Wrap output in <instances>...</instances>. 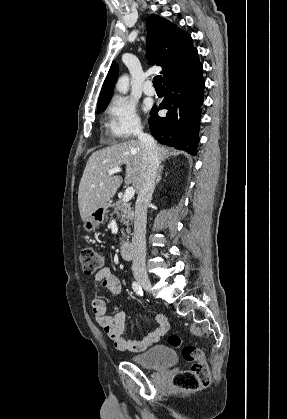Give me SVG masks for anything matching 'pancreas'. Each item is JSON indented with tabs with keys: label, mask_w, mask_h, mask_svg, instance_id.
<instances>
[{
	"label": "pancreas",
	"mask_w": 287,
	"mask_h": 419,
	"mask_svg": "<svg viewBox=\"0 0 287 419\" xmlns=\"http://www.w3.org/2000/svg\"><path fill=\"white\" fill-rule=\"evenodd\" d=\"M110 207L114 208L117 217L120 218V222L123 223V225L126 226L127 233H130V226L133 223L134 220V211L132 208L131 203L122 201H117L114 204H111ZM122 239H129V236H127L125 233L122 234Z\"/></svg>",
	"instance_id": "obj_1"
}]
</instances>
